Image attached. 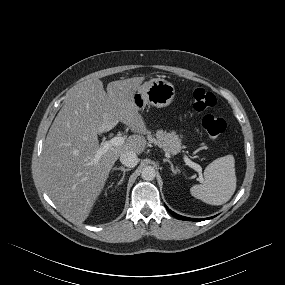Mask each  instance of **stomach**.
I'll return each instance as SVG.
<instances>
[{"mask_svg":"<svg viewBox=\"0 0 285 285\" xmlns=\"http://www.w3.org/2000/svg\"><path fill=\"white\" fill-rule=\"evenodd\" d=\"M175 97V87L161 78H154L144 83L133 93V101L139 110L146 104L157 108L170 105Z\"/></svg>","mask_w":285,"mask_h":285,"instance_id":"stomach-1","label":"stomach"}]
</instances>
